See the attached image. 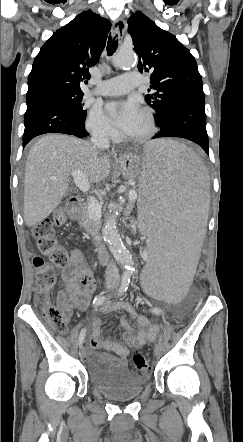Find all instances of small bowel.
<instances>
[{
  "instance_id": "1",
  "label": "small bowel",
  "mask_w": 243,
  "mask_h": 442,
  "mask_svg": "<svg viewBox=\"0 0 243 442\" xmlns=\"http://www.w3.org/2000/svg\"><path fill=\"white\" fill-rule=\"evenodd\" d=\"M64 288L57 295V306L66 313L67 320L72 314L74 307L85 311L89 305L92 293L95 290V280L89 269L86 258L82 251L74 249L71 251L68 265L62 271ZM115 309L126 310L129 316L135 321L138 329L133 333L132 325L125 318H121L119 323L124 329V343L101 338L102 321L95 318L92 321L93 334L89 340V345L94 352L106 350L118 355L115 358L121 366H126V358L130 348H141L148 341L154 339L157 333V326L150 323L145 318L138 316L133 307L128 303L107 304L101 311L108 313ZM109 356V354H105Z\"/></svg>"
}]
</instances>
